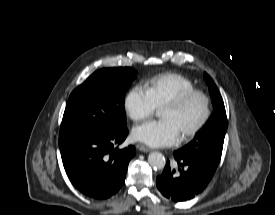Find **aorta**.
Masks as SVG:
<instances>
[{
	"instance_id": "obj_1",
	"label": "aorta",
	"mask_w": 275,
	"mask_h": 215,
	"mask_svg": "<svg viewBox=\"0 0 275 215\" xmlns=\"http://www.w3.org/2000/svg\"><path fill=\"white\" fill-rule=\"evenodd\" d=\"M148 162L154 169L161 170L165 167L166 160L163 154L159 152H152L148 156Z\"/></svg>"
}]
</instances>
